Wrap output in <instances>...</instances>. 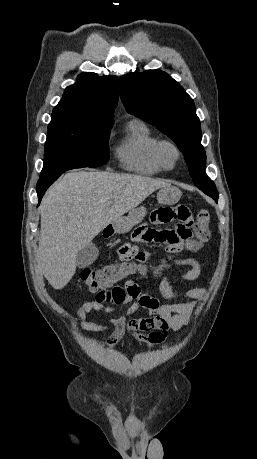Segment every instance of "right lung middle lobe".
I'll list each match as a JSON object with an SVG mask.
<instances>
[{
  "label": "right lung middle lobe",
  "instance_id": "1",
  "mask_svg": "<svg viewBox=\"0 0 257 459\" xmlns=\"http://www.w3.org/2000/svg\"><path fill=\"white\" fill-rule=\"evenodd\" d=\"M110 125L52 117L45 143L41 173L63 169L98 167L109 160Z\"/></svg>",
  "mask_w": 257,
  "mask_h": 459
}]
</instances>
